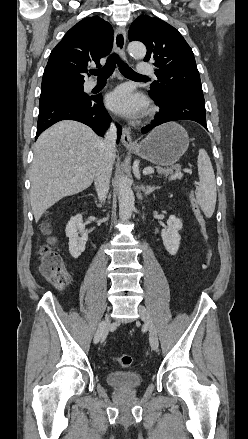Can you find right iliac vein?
Returning <instances> with one entry per match:
<instances>
[{
  "label": "right iliac vein",
  "instance_id": "right-iliac-vein-1",
  "mask_svg": "<svg viewBox=\"0 0 248 439\" xmlns=\"http://www.w3.org/2000/svg\"><path fill=\"white\" fill-rule=\"evenodd\" d=\"M102 322H104V327H103V334H102V336L100 337V340L99 341H101V342H103L104 341V339L106 338V336H107V334H108V331H109V329H110V317H109V315L108 314H106V316H105V318L103 319V321ZM98 341V342H99ZM97 342V343H98Z\"/></svg>",
  "mask_w": 248,
  "mask_h": 439
}]
</instances>
